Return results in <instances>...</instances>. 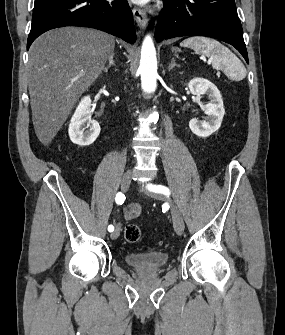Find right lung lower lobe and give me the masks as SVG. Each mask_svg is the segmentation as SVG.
<instances>
[{
  "label": "right lung lower lobe",
  "instance_id": "98d812e1",
  "mask_svg": "<svg viewBox=\"0 0 285 335\" xmlns=\"http://www.w3.org/2000/svg\"><path fill=\"white\" fill-rule=\"evenodd\" d=\"M73 25L100 29L129 43L136 40L126 0H35L27 49L42 33Z\"/></svg>",
  "mask_w": 285,
  "mask_h": 335
}]
</instances>
